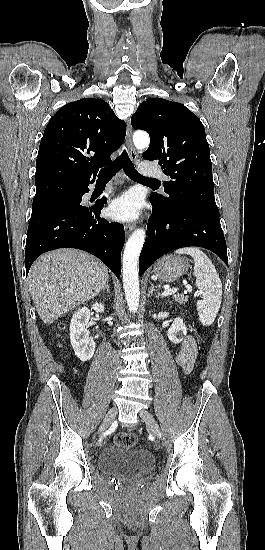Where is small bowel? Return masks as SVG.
Listing matches in <instances>:
<instances>
[{"instance_id": "small-bowel-1", "label": "small bowel", "mask_w": 265, "mask_h": 550, "mask_svg": "<svg viewBox=\"0 0 265 550\" xmlns=\"http://www.w3.org/2000/svg\"><path fill=\"white\" fill-rule=\"evenodd\" d=\"M197 358V346L194 338L187 335L181 346V350L176 355V363L184 370V372H191L195 360Z\"/></svg>"}]
</instances>
